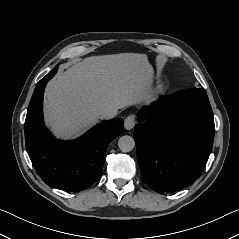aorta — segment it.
Wrapping results in <instances>:
<instances>
[{"label":"aorta","mask_w":239,"mask_h":239,"mask_svg":"<svg viewBox=\"0 0 239 239\" xmlns=\"http://www.w3.org/2000/svg\"><path fill=\"white\" fill-rule=\"evenodd\" d=\"M118 147L122 152H130L135 147V141L131 136H121L118 140Z\"/></svg>","instance_id":"obj_1"}]
</instances>
